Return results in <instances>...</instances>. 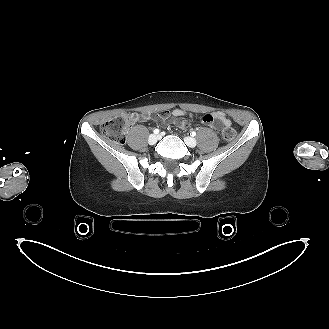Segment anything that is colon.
<instances>
[{
    "label": "colon",
    "mask_w": 329,
    "mask_h": 329,
    "mask_svg": "<svg viewBox=\"0 0 329 329\" xmlns=\"http://www.w3.org/2000/svg\"><path fill=\"white\" fill-rule=\"evenodd\" d=\"M134 121V117L129 114H122L115 118L105 121L101 125V133L104 137L111 139L119 144H123L126 139V129ZM222 137L226 141H231L235 137V131L231 127H225L222 131Z\"/></svg>",
    "instance_id": "5ec220e1"
}]
</instances>
